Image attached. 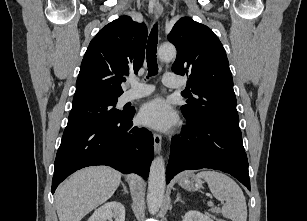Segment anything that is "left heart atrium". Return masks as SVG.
<instances>
[{"label": "left heart atrium", "instance_id": "left-heart-atrium-1", "mask_svg": "<svg viewBox=\"0 0 307 221\" xmlns=\"http://www.w3.org/2000/svg\"><path fill=\"white\" fill-rule=\"evenodd\" d=\"M142 124L160 131H167L176 123V115L162 98H155L144 104L139 112Z\"/></svg>", "mask_w": 307, "mask_h": 221}]
</instances>
